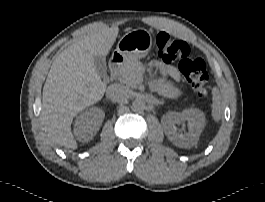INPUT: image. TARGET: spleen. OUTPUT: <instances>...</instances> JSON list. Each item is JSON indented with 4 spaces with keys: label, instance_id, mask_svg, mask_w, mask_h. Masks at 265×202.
I'll list each match as a JSON object with an SVG mask.
<instances>
[{
    "label": "spleen",
    "instance_id": "3e777b00",
    "mask_svg": "<svg viewBox=\"0 0 265 202\" xmlns=\"http://www.w3.org/2000/svg\"><path fill=\"white\" fill-rule=\"evenodd\" d=\"M213 104H212V118L214 121L218 122L222 117V103L219 90L213 88Z\"/></svg>",
    "mask_w": 265,
    "mask_h": 202
}]
</instances>
